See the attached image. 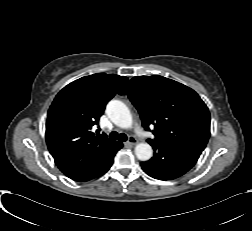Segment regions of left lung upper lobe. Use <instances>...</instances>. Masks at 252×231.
<instances>
[{"label": "left lung upper lobe", "mask_w": 252, "mask_h": 231, "mask_svg": "<svg viewBox=\"0 0 252 231\" xmlns=\"http://www.w3.org/2000/svg\"><path fill=\"white\" fill-rule=\"evenodd\" d=\"M137 108L146 130L153 125L148 143L189 145L204 150L210 136V114L199 95L174 80L138 76L119 91Z\"/></svg>", "instance_id": "1"}]
</instances>
